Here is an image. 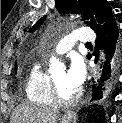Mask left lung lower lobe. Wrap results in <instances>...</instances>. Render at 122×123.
Instances as JSON below:
<instances>
[{"mask_svg": "<svg viewBox=\"0 0 122 123\" xmlns=\"http://www.w3.org/2000/svg\"><path fill=\"white\" fill-rule=\"evenodd\" d=\"M97 39L95 41V49L102 48L106 54L101 83L96 88L93 86V100H107L112 95L117 82L119 69L122 63V36L119 35L117 23L113 14H111L103 26L95 31ZM96 56L95 62L98 59V51L94 52ZM90 59L91 55H87Z\"/></svg>", "mask_w": 122, "mask_h": 123, "instance_id": "0a47b994", "label": "left lung lower lobe"}]
</instances>
